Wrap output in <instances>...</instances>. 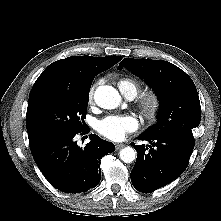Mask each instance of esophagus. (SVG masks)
Returning a JSON list of instances; mask_svg holds the SVG:
<instances>
[{
  "mask_svg": "<svg viewBox=\"0 0 221 221\" xmlns=\"http://www.w3.org/2000/svg\"><path fill=\"white\" fill-rule=\"evenodd\" d=\"M124 146H125V145H124V144H121V143L115 144L116 150H119V149L123 148Z\"/></svg>",
  "mask_w": 221,
  "mask_h": 221,
  "instance_id": "34e87169",
  "label": "esophagus"
}]
</instances>
